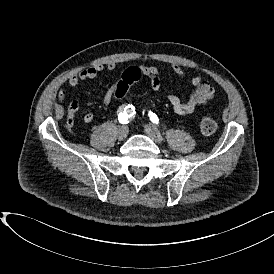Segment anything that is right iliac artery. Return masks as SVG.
Returning a JSON list of instances; mask_svg holds the SVG:
<instances>
[{"label": "right iliac artery", "instance_id": "right-iliac-artery-1", "mask_svg": "<svg viewBox=\"0 0 274 274\" xmlns=\"http://www.w3.org/2000/svg\"><path fill=\"white\" fill-rule=\"evenodd\" d=\"M135 109L134 107L128 106L124 109V111H121L118 115V120L121 124H127L129 120H131L134 116Z\"/></svg>", "mask_w": 274, "mask_h": 274}]
</instances>
